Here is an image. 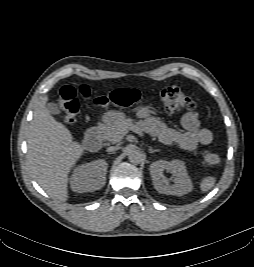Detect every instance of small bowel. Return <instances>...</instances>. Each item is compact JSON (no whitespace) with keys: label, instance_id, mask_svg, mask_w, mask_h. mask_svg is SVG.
Segmentation results:
<instances>
[{"label":"small bowel","instance_id":"obj_1","mask_svg":"<svg viewBox=\"0 0 254 267\" xmlns=\"http://www.w3.org/2000/svg\"><path fill=\"white\" fill-rule=\"evenodd\" d=\"M137 114L149 133L164 144L176 143L186 151H194L199 145H208L213 140L212 132L200 127L198 114L195 112L183 115L181 124L184 131L167 127L163 122L152 117L147 108H141Z\"/></svg>","mask_w":254,"mask_h":267}]
</instances>
